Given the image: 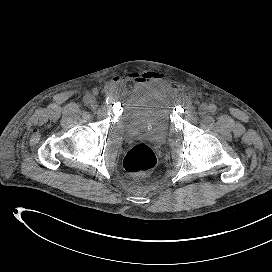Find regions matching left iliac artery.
I'll list each match as a JSON object with an SVG mask.
<instances>
[{"mask_svg":"<svg viewBox=\"0 0 272 272\" xmlns=\"http://www.w3.org/2000/svg\"><path fill=\"white\" fill-rule=\"evenodd\" d=\"M216 110H217L216 105L211 104V105L209 106V111H210L211 113H215V112H216Z\"/></svg>","mask_w":272,"mask_h":272,"instance_id":"44dca946","label":"left iliac artery"}]
</instances>
